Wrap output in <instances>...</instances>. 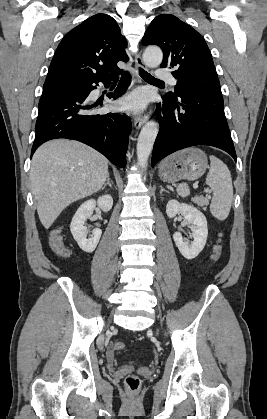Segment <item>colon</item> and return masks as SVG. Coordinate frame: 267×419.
Returning <instances> with one entry per match:
<instances>
[{
  "label": "colon",
  "mask_w": 267,
  "mask_h": 419,
  "mask_svg": "<svg viewBox=\"0 0 267 419\" xmlns=\"http://www.w3.org/2000/svg\"><path fill=\"white\" fill-rule=\"evenodd\" d=\"M50 246L52 250L59 256L65 257L68 255V250L63 244V239L58 230L54 231L50 237ZM222 253V244H218L214 247L212 260L218 261ZM113 348L116 352H121L125 349V344L122 341H117L114 343ZM126 386L131 391H136L140 386V380L135 375H129L125 379Z\"/></svg>",
  "instance_id": "5ec220e1"
}]
</instances>
